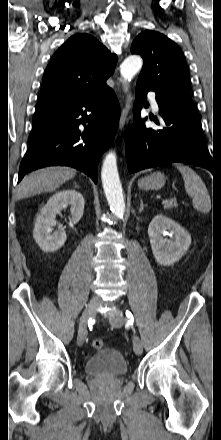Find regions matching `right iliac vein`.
<instances>
[{"instance_id":"63e3f726","label":"right iliac vein","mask_w":221,"mask_h":440,"mask_svg":"<svg viewBox=\"0 0 221 440\" xmlns=\"http://www.w3.org/2000/svg\"><path fill=\"white\" fill-rule=\"evenodd\" d=\"M99 303H100L99 299L93 297L81 316L80 327L77 336V343L79 346H82L86 340L87 337L86 324L92 317L95 316Z\"/></svg>"}]
</instances>
